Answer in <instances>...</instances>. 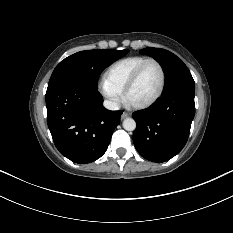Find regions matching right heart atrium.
<instances>
[{
	"instance_id": "obj_1",
	"label": "right heart atrium",
	"mask_w": 233,
	"mask_h": 233,
	"mask_svg": "<svg viewBox=\"0 0 233 233\" xmlns=\"http://www.w3.org/2000/svg\"><path fill=\"white\" fill-rule=\"evenodd\" d=\"M98 89L100 94L106 100V103L111 108L118 107L123 101V93L113 85H111L107 80L102 79L98 83Z\"/></svg>"
}]
</instances>
